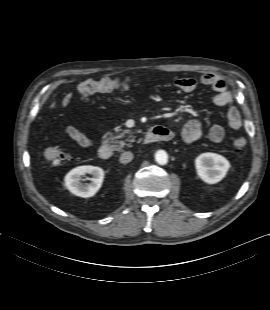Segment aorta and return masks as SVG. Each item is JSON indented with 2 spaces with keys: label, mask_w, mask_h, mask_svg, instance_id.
I'll list each match as a JSON object with an SVG mask.
<instances>
[{
  "label": "aorta",
  "mask_w": 270,
  "mask_h": 310,
  "mask_svg": "<svg viewBox=\"0 0 270 310\" xmlns=\"http://www.w3.org/2000/svg\"><path fill=\"white\" fill-rule=\"evenodd\" d=\"M155 160L160 165H165L168 162V154L164 150H158L155 154Z\"/></svg>",
  "instance_id": "1"
}]
</instances>
